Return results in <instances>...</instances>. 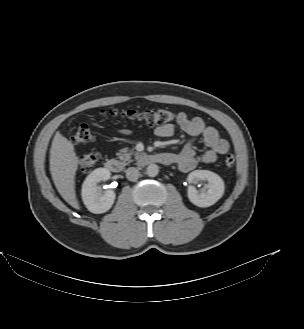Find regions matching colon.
<instances>
[{"mask_svg": "<svg viewBox=\"0 0 304 329\" xmlns=\"http://www.w3.org/2000/svg\"><path fill=\"white\" fill-rule=\"evenodd\" d=\"M104 116L121 118L131 122L140 123L148 127L162 126L176 119L177 115L168 110H111L104 111ZM96 140L95 135L90 127L86 124L80 125L73 135V141L76 144L93 143ZM101 151L99 148H94L90 152L85 153L79 160L78 168L82 173L92 171L100 157ZM224 162L227 166H232L235 162V157L232 153H227L224 156Z\"/></svg>", "mask_w": 304, "mask_h": 329, "instance_id": "obj_1", "label": "colon"}]
</instances>
